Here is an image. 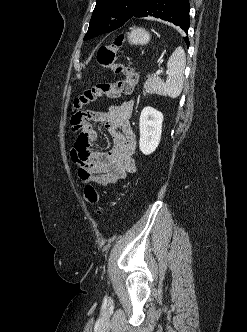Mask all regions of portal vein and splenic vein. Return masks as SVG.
I'll return each mask as SVG.
<instances>
[{
  "label": "portal vein and splenic vein",
  "instance_id": "1",
  "mask_svg": "<svg viewBox=\"0 0 247 332\" xmlns=\"http://www.w3.org/2000/svg\"><path fill=\"white\" fill-rule=\"evenodd\" d=\"M162 72H163L162 70H158V71L156 72V74H157V75H160Z\"/></svg>",
  "mask_w": 247,
  "mask_h": 332
}]
</instances>
